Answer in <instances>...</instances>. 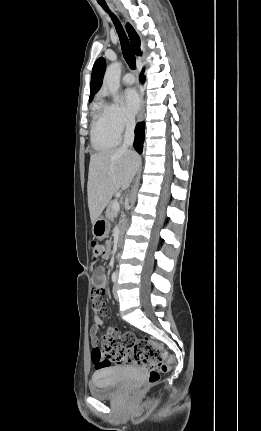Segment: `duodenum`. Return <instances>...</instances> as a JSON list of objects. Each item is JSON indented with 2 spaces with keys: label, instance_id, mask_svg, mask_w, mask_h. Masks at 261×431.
Returning <instances> with one entry per match:
<instances>
[{
  "label": "duodenum",
  "instance_id": "1",
  "mask_svg": "<svg viewBox=\"0 0 261 431\" xmlns=\"http://www.w3.org/2000/svg\"><path fill=\"white\" fill-rule=\"evenodd\" d=\"M123 236V228H119L116 233V243H119Z\"/></svg>",
  "mask_w": 261,
  "mask_h": 431
}]
</instances>
